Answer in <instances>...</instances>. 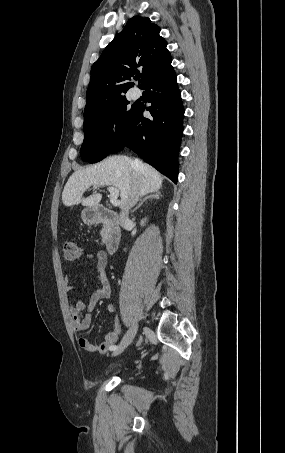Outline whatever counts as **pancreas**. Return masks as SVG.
Here are the masks:
<instances>
[{"instance_id": "obj_1", "label": "pancreas", "mask_w": 285, "mask_h": 453, "mask_svg": "<svg viewBox=\"0 0 285 453\" xmlns=\"http://www.w3.org/2000/svg\"><path fill=\"white\" fill-rule=\"evenodd\" d=\"M105 230H106V226H104L103 229H102V232H101L102 238L104 237Z\"/></svg>"}]
</instances>
